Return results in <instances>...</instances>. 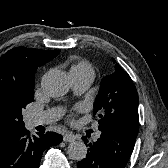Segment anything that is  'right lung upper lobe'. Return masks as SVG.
I'll return each instance as SVG.
<instances>
[{"label":"right lung upper lobe","mask_w":168,"mask_h":168,"mask_svg":"<svg viewBox=\"0 0 168 168\" xmlns=\"http://www.w3.org/2000/svg\"><path fill=\"white\" fill-rule=\"evenodd\" d=\"M59 52L16 47L0 58V144L18 130L5 121L4 110L14 102L20 89L34 84L37 67L52 60Z\"/></svg>","instance_id":"obj_1"}]
</instances>
